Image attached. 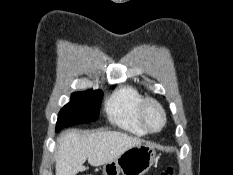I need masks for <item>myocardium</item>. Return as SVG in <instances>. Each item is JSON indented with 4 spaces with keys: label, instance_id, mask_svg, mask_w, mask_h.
I'll use <instances>...</instances> for the list:
<instances>
[{
    "label": "myocardium",
    "instance_id": "myocardium-1",
    "mask_svg": "<svg viewBox=\"0 0 233 175\" xmlns=\"http://www.w3.org/2000/svg\"><path fill=\"white\" fill-rule=\"evenodd\" d=\"M150 106H154L159 111V113L162 117V124L158 129L151 128L148 121H147L146 114H147V109ZM139 118H140L141 123L145 127V129L151 133H156V132L161 131L165 127L166 121H167L166 112H165L162 104L154 98H144L143 99V101L141 102V104L139 106Z\"/></svg>",
    "mask_w": 233,
    "mask_h": 175
}]
</instances>
